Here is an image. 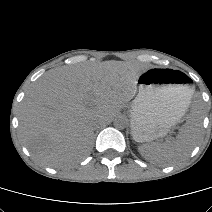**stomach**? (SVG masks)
<instances>
[{"mask_svg":"<svg viewBox=\"0 0 212 212\" xmlns=\"http://www.w3.org/2000/svg\"><path fill=\"white\" fill-rule=\"evenodd\" d=\"M190 79L178 70L150 68L136 81L131 129L137 142L164 137L185 114L193 96Z\"/></svg>","mask_w":212,"mask_h":212,"instance_id":"0dacf381","label":"stomach"}]
</instances>
